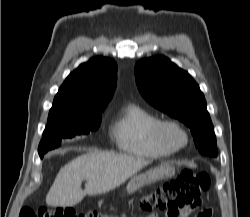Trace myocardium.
<instances>
[{
	"instance_id": "obj_1",
	"label": "myocardium",
	"mask_w": 250,
	"mask_h": 217,
	"mask_svg": "<svg viewBox=\"0 0 250 217\" xmlns=\"http://www.w3.org/2000/svg\"><path fill=\"white\" fill-rule=\"evenodd\" d=\"M157 141L172 152L185 148L189 142L187 130L175 120H159L154 128ZM173 134L180 136V141L173 140Z\"/></svg>"
}]
</instances>
